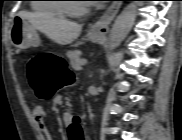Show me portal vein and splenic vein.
I'll use <instances>...</instances> for the list:
<instances>
[{"instance_id": "obj_1", "label": "portal vein and splenic vein", "mask_w": 182, "mask_h": 140, "mask_svg": "<svg viewBox=\"0 0 182 140\" xmlns=\"http://www.w3.org/2000/svg\"><path fill=\"white\" fill-rule=\"evenodd\" d=\"M87 62H88L87 59H82V60H81V65H86Z\"/></svg>"}]
</instances>
